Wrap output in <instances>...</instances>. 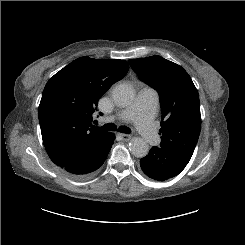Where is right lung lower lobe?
I'll use <instances>...</instances> for the list:
<instances>
[{
    "mask_svg": "<svg viewBox=\"0 0 245 245\" xmlns=\"http://www.w3.org/2000/svg\"><path fill=\"white\" fill-rule=\"evenodd\" d=\"M115 136L106 133L93 142L74 162L63 167L75 177H86L97 170L106 160Z\"/></svg>",
    "mask_w": 245,
    "mask_h": 245,
    "instance_id": "obj_1",
    "label": "right lung lower lobe"
}]
</instances>
